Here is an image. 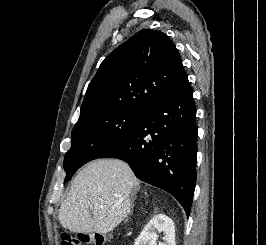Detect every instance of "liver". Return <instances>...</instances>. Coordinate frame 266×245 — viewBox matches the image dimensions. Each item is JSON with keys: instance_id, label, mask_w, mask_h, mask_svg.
Returning <instances> with one entry per match:
<instances>
[{"instance_id": "6515ba94", "label": "liver", "mask_w": 266, "mask_h": 245, "mask_svg": "<svg viewBox=\"0 0 266 245\" xmlns=\"http://www.w3.org/2000/svg\"><path fill=\"white\" fill-rule=\"evenodd\" d=\"M138 185L124 161H91L75 177L59 209V223L71 233H110L127 217L130 195Z\"/></svg>"}]
</instances>
